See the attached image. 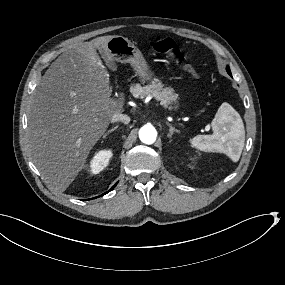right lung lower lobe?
Listing matches in <instances>:
<instances>
[{"instance_id":"98d812e1","label":"right lung lower lobe","mask_w":285,"mask_h":285,"mask_svg":"<svg viewBox=\"0 0 285 285\" xmlns=\"http://www.w3.org/2000/svg\"><path fill=\"white\" fill-rule=\"evenodd\" d=\"M117 184V183H116ZM116 184L110 189V190H112L115 186H116ZM109 192V191H108ZM108 192H106V193H108ZM106 193H104V194H106ZM104 194H102V195H104ZM101 195V196H102Z\"/></svg>"}]
</instances>
